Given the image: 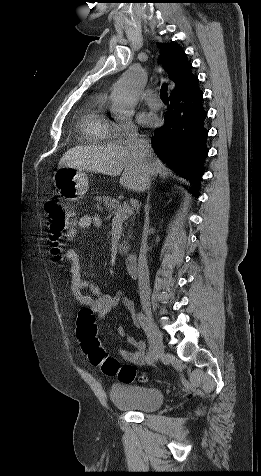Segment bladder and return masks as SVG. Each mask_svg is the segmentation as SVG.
Listing matches in <instances>:
<instances>
[{
  "label": "bladder",
  "instance_id": "bladder-1",
  "mask_svg": "<svg viewBox=\"0 0 261 476\" xmlns=\"http://www.w3.org/2000/svg\"><path fill=\"white\" fill-rule=\"evenodd\" d=\"M112 403L120 410L150 413L158 410L164 394L157 387H143L130 383L114 384L109 392Z\"/></svg>",
  "mask_w": 261,
  "mask_h": 476
}]
</instances>
